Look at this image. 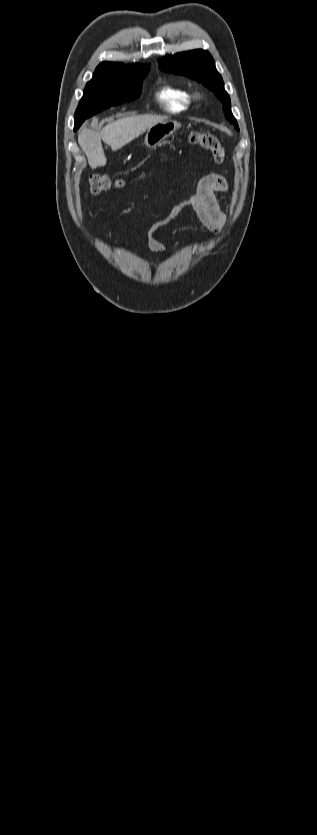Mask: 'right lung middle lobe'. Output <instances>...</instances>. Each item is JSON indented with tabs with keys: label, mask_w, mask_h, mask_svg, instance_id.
Wrapping results in <instances>:
<instances>
[{
	"label": "right lung middle lobe",
	"mask_w": 317,
	"mask_h": 835,
	"mask_svg": "<svg viewBox=\"0 0 317 835\" xmlns=\"http://www.w3.org/2000/svg\"><path fill=\"white\" fill-rule=\"evenodd\" d=\"M149 70L150 66L147 65L134 71L122 70L93 76L86 84L83 97L76 109L74 130H77L85 119L98 112L138 98L142 79Z\"/></svg>",
	"instance_id": "obj_1"
}]
</instances>
